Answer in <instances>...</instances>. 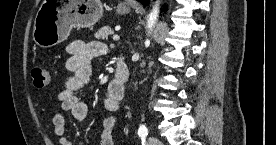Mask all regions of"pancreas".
<instances>
[{
	"mask_svg": "<svg viewBox=\"0 0 276 145\" xmlns=\"http://www.w3.org/2000/svg\"><path fill=\"white\" fill-rule=\"evenodd\" d=\"M112 33H113V30L110 26H104L95 33V37L97 39L107 40L108 36L111 35Z\"/></svg>",
	"mask_w": 276,
	"mask_h": 145,
	"instance_id": "obj_1",
	"label": "pancreas"
}]
</instances>
